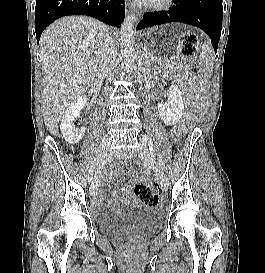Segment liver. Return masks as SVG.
Listing matches in <instances>:
<instances>
[{
	"label": "liver",
	"instance_id": "6515ba94",
	"mask_svg": "<svg viewBox=\"0 0 265 273\" xmlns=\"http://www.w3.org/2000/svg\"><path fill=\"white\" fill-rule=\"evenodd\" d=\"M108 28L87 16H67L42 34V109L50 134L58 132L70 104L93 85L101 66V47Z\"/></svg>",
	"mask_w": 265,
	"mask_h": 273
}]
</instances>
